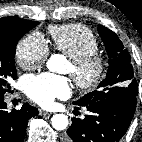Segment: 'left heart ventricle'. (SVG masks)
<instances>
[{"label": "left heart ventricle", "mask_w": 142, "mask_h": 142, "mask_svg": "<svg viewBox=\"0 0 142 142\" xmlns=\"http://www.w3.org/2000/svg\"><path fill=\"white\" fill-rule=\"evenodd\" d=\"M66 71H67V72H70V71H71V65H70V63L67 65Z\"/></svg>", "instance_id": "left-heart-ventricle-1"}]
</instances>
